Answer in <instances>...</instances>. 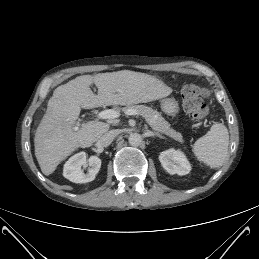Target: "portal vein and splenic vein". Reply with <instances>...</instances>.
Masks as SVG:
<instances>
[{
	"label": "portal vein and splenic vein",
	"mask_w": 259,
	"mask_h": 259,
	"mask_svg": "<svg viewBox=\"0 0 259 259\" xmlns=\"http://www.w3.org/2000/svg\"><path fill=\"white\" fill-rule=\"evenodd\" d=\"M126 114L127 115H139L140 113L135 110L129 109L126 111ZM119 116H120V113L113 109L103 110V111L99 112L97 115V117L99 119H115V118H118Z\"/></svg>",
	"instance_id": "1"
}]
</instances>
